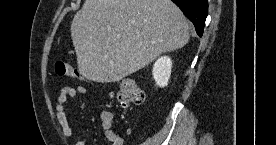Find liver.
Listing matches in <instances>:
<instances>
[{"instance_id":"liver-1","label":"liver","mask_w":276,"mask_h":145,"mask_svg":"<svg viewBox=\"0 0 276 145\" xmlns=\"http://www.w3.org/2000/svg\"><path fill=\"white\" fill-rule=\"evenodd\" d=\"M70 31L79 72L98 83L119 81L189 40L171 0H86Z\"/></svg>"}]
</instances>
